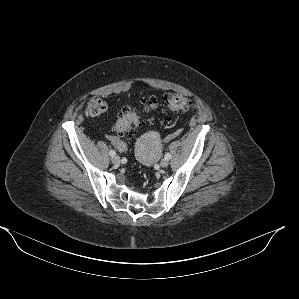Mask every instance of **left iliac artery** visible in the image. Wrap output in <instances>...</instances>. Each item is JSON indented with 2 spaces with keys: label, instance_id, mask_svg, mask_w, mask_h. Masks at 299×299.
<instances>
[{
  "label": "left iliac artery",
  "instance_id": "44dca946",
  "mask_svg": "<svg viewBox=\"0 0 299 299\" xmlns=\"http://www.w3.org/2000/svg\"><path fill=\"white\" fill-rule=\"evenodd\" d=\"M165 159L166 160H170L171 159V154L170 153H166L165 154Z\"/></svg>",
  "mask_w": 299,
  "mask_h": 299
}]
</instances>
